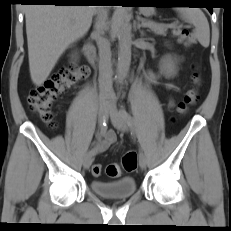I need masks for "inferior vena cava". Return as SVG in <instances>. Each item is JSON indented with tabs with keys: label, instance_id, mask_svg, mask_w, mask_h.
Instances as JSON below:
<instances>
[{
	"label": "inferior vena cava",
	"instance_id": "602c4592",
	"mask_svg": "<svg viewBox=\"0 0 231 231\" xmlns=\"http://www.w3.org/2000/svg\"><path fill=\"white\" fill-rule=\"evenodd\" d=\"M97 15L94 26V34L99 49V87L103 93L112 90V62L110 43L103 35L107 29L108 12L105 6H97L95 10Z\"/></svg>",
	"mask_w": 231,
	"mask_h": 231
}]
</instances>
